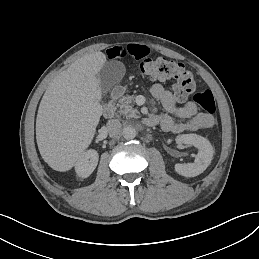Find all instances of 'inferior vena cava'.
<instances>
[{"label": "inferior vena cava", "mask_w": 259, "mask_h": 259, "mask_svg": "<svg viewBox=\"0 0 259 259\" xmlns=\"http://www.w3.org/2000/svg\"><path fill=\"white\" fill-rule=\"evenodd\" d=\"M106 127L110 136L118 137L121 133L122 124L118 119H111L107 121Z\"/></svg>", "instance_id": "1"}]
</instances>
